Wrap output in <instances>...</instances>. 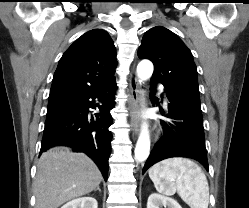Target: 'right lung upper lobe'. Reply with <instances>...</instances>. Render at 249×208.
Wrapping results in <instances>:
<instances>
[{"mask_svg": "<svg viewBox=\"0 0 249 208\" xmlns=\"http://www.w3.org/2000/svg\"><path fill=\"white\" fill-rule=\"evenodd\" d=\"M117 61L109 34L93 29L78 38L63 54L54 73L49 101L85 94L115 80Z\"/></svg>", "mask_w": 249, "mask_h": 208, "instance_id": "1", "label": "right lung upper lobe"}]
</instances>
